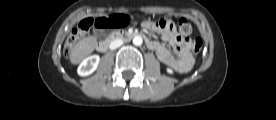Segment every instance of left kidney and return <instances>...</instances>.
Returning <instances> with one entry per match:
<instances>
[{"instance_id": "left-kidney-1", "label": "left kidney", "mask_w": 276, "mask_h": 120, "mask_svg": "<svg viewBox=\"0 0 276 120\" xmlns=\"http://www.w3.org/2000/svg\"><path fill=\"white\" fill-rule=\"evenodd\" d=\"M167 71H168L169 73H173V71H172L171 69H167Z\"/></svg>"}]
</instances>
